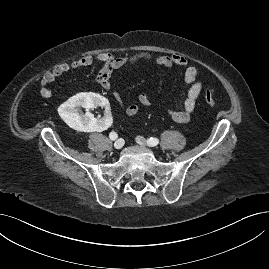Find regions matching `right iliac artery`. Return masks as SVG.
<instances>
[{
	"mask_svg": "<svg viewBox=\"0 0 269 269\" xmlns=\"http://www.w3.org/2000/svg\"><path fill=\"white\" fill-rule=\"evenodd\" d=\"M109 137L111 140H115L117 139L118 135L116 132L112 131L110 134H109Z\"/></svg>",
	"mask_w": 269,
	"mask_h": 269,
	"instance_id": "right-iliac-artery-1",
	"label": "right iliac artery"
}]
</instances>
